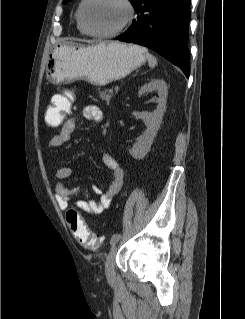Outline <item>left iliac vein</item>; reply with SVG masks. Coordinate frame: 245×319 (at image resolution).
<instances>
[{
    "mask_svg": "<svg viewBox=\"0 0 245 319\" xmlns=\"http://www.w3.org/2000/svg\"><path fill=\"white\" fill-rule=\"evenodd\" d=\"M117 251H118V247L115 243L111 247L110 252L105 261V273L109 281H113L115 279L114 264H115V257H116Z\"/></svg>",
    "mask_w": 245,
    "mask_h": 319,
    "instance_id": "obj_1",
    "label": "left iliac vein"
}]
</instances>
